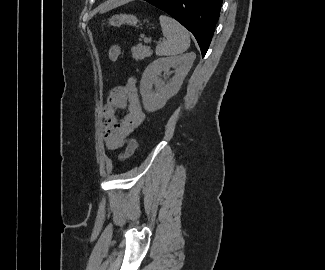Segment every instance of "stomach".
Instances as JSON below:
<instances>
[{"mask_svg": "<svg viewBox=\"0 0 325 270\" xmlns=\"http://www.w3.org/2000/svg\"><path fill=\"white\" fill-rule=\"evenodd\" d=\"M109 25L115 26V27H120L123 24H128V25H136L138 23V19L134 15L130 14H119V15H114L109 19Z\"/></svg>", "mask_w": 325, "mask_h": 270, "instance_id": "stomach-1", "label": "stomach"}]
</instances>
